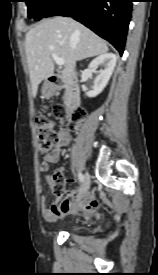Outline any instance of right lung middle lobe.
<instances>
[{
    "mask_svg": "<svg viewBox=\"0 0 158 275\" xmlns=\"http://www.w3.org/2000/svg\"><path fill=\"white\" fill-rule=\"evenodd\" d=\"M61 0H25L28 6V17L36 21L45 17L46 13Z\"/></svg>",
    "mask_w": 158,
    "mask_h": 275,
    "instance_id": "right-lung-middle-lobe-1",
    "label": "right lung middle lobe"
}]
</instances>
